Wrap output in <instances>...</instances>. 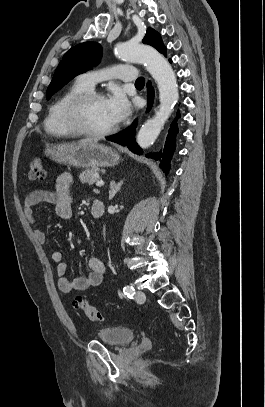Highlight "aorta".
<instances>
[{"mask_svg":"<svg viewBox=\"0 0 265 407\" xmlns=\"http://www.w3.org/2000/svg\"><path fill=\"white\" fill-rule=\"evenodd\" d=\"M116 56L128 62H140L146 65L158 85L160 105L152 119L146 121L138 135L137 143L141 148H148L157 139L161 129L179 99L178 84L169 62L156 50L132 42L116 46Z\"/></svg>","mask_w":265,"mask_h":407,"instance_id":"762f6f07","label":"aorta"}]
</instances>
